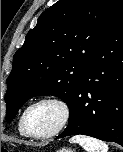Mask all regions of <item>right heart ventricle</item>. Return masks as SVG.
I'll return each mask as SVG.
<instances>
[{
	"mask_svg": "<svg viewBox=\"0 0 123 152\" xmlns=\"http://www.w3.org/2000/svg\"><path fill=\"white\" fill-rule=\"evenodd\" d=\"M18 131L19 133L24 136V137H27V134L24 132L23 128H22V124H21V117L18 121Z\"/></svg>",
	"mask_w": 123,
	"mask_h": 152,
	"instance_id": "e07e8e85",
	"label": "right heart ventricle"
}]
</instances>
